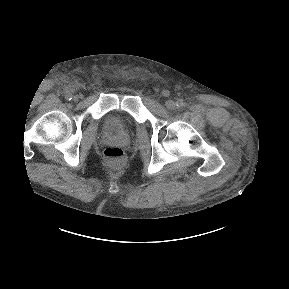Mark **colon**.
Segmentation results:
<instances>
[{"label":"colon","mask_w":289,"mask_h":289,"mask_svg":"<svg viewBox=\"0 0 289 289\" xmlns=\"http://www.w3.org/2000/svg\"><path fill=\"white\" fill-rule=\"evenodd\" d=\"M103 156L111 166L116 168L121 167L125 162V153L117 146H109L105 148Z\"/></svg>","instance_id":"1"}]
</instances>
